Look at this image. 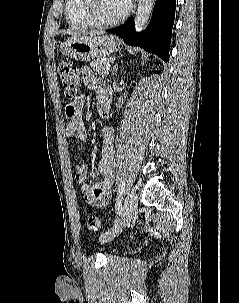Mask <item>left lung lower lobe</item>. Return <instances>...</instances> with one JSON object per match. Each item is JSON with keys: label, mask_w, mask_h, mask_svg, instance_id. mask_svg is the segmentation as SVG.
Here are the masks:
<instances>
[{"label": "left lung lower lobe", "mask_w": 239, "mask_h": 303, "mask_svg": "<svg viewBox=\"0 0 239 303\" xmlns=\"http://www.w3.org/2000/svg\"><path fill=\"white\" fill-rule=\"evenodd\" d=\"M175 6L176 0H156L149 26L139 34L135 33L133 18L119 27L106 31L168 62Z\"/></svg>", "instance_id": "1"}]
</instances>
